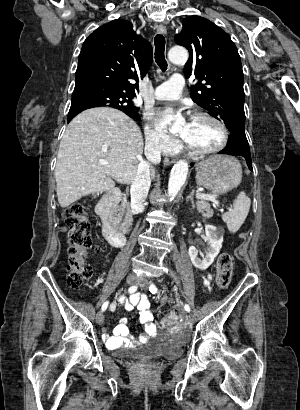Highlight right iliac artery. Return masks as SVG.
I'll use <instances>...</instances> for the list:
<instances>
[{
    "mask_svg": "<svg viewBox=\"0 0 300 410\" xmlns=\"http://www.w3.org/2000/svg\"><path fill=\"white\" fill-rule=\"evenodd\" d=\"M136 290H137V286L134 285V286H131V287L128 289V292H129V293H134ZM108 304H109V302L106 301V302L102 305L101 310H102V311H105V310L107 309V307H108Z\"/></svg>",
    "mask_w": 300,
    "mask_h": 410,
    "instance_id": "82829eb1",
    "label": "right iliac artery"
}]
</instances>
